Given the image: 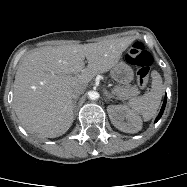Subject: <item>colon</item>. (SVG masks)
<instances>
[{
  "label": "colon",
  "instance_id": "colon-1",
  "mask_svg": "<svg viewBox=\"0 0 187 187\" xmlns=\"http://www.w3.org/2000/svg\"><path fill=\"white\" fill-rule=\"evenodd\" d=\"M125 59L129 64L137 67V84L141 89L145 88L153 62L151 54L142 43L136 42L125 53Z\"/></svg>",
  "mask_w": 187,
  "mask_h": 187
}]
</instances>
